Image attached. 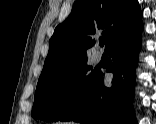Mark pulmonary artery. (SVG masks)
<instances>
[{
	"mask_svg": "<svg viewBox=\"0 0 156 124\" xmlns=\"http://www.w3.org/2000/svg\"><path fill=\"white\" fill-rule=\"evenodd\" d=\"M94 61H95L96 63H99V62L101 61V54H100L99 52H96V53L94 54Z\"/></svg>",
	"mask_w": 156,
	"mask_h": 124,
	"instance_id": "pulmonary-artery-1",
	"label": "pulmonary artery"
}]
</instances>
